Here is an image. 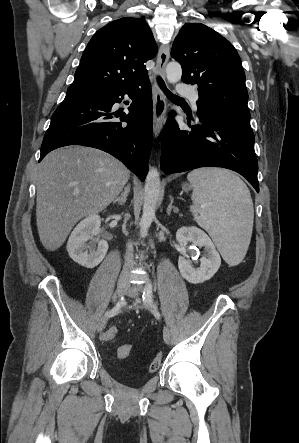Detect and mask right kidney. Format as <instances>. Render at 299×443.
I'll return each mask as SVG.
<instances>
[{"mask_svg": "<svg viewBox=\"0 0 299 443\" xmlns=\"http://www.w3.org/2000/svg\"><path fill=\"white\" fill-rule=\"evenodd\" d=\"M100 225L99 215H89L77 224L68 239L69 256L83 267L94 268L104 259L108 251L107 241L94 239L100 231ZM89 240H92V243L88 245Z\"/></svg>", "mask_w": 299, "mask_h": 443, "instance_id": "ca27d5eb", "label": "right kidney"}]
</instances>
